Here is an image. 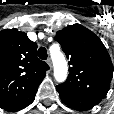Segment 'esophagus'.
I'll return each instance as SVG.
<instances>
[{
  "instance_id": "1",
  "label": "esophagus",
  "mask_w": 114,
  "mask_h": 114,
  "mask_svg": "<svg viewBox=\"0 0 114 114\" xmlns=\"http://www.w3.org/2000/svg\"><path fill=\"white\" fill-rule=\"evenodd\" d=\"M47 64L50 67V69H52V60H51V58L47 59Z\"/></svg>"
}]
</instances>
